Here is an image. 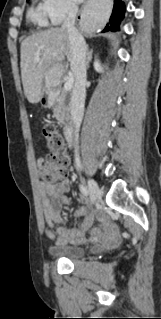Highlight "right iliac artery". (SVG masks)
Returning a JSON list of instances; mask_svg holds the SVG:
<instances>
[{"label":"right iliac artery","instance_id":"right-iliac-artery-1","mask_svg":"<svg viewBox=\"0 0 161 319\" xmlns=\"http://www.w3.org/2000/svg\"><path fill=\"white\" fill-rule=\"evenodd\" d=\"M80 191L82 192V194L84 196H88L89 195V191H88L87 187H85L84 185H80Z\"/></svg>","mask_w":161,"mask_h":319}]
</instances>
